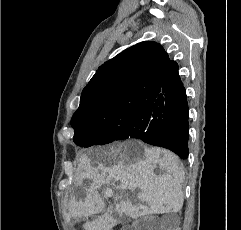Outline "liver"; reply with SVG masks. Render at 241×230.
<instances>
[{
  "label": "liver",
  "mask_w": 241,
  "mask_h": 230,
  "mask_svg": "<svg viewBox=\"0 0 241 230\" xmlns=\"http://www.w3.org/2000/svg\"><path fill=\"white\" fill-rule=\"evenodd\" d=\"M144 151L145 158H140ZM160 167L161 174L154 170ZM77 184L82 186L88 180L86 198L67 202L68 217H88L104 207L97 190L102 185L117 183L121 191L140 189L137 199L145 205H133L130 200L123 201L118 212L132 218L147 214L178 212L182 209L184 194L182 184L185 172L178 157L168 150L148 148L141 142L126 141L104 152V158L94 161L83 155L79 163ZM115 224L111 214L106 212L95 221L86 223L85 230H110Z\"/></svg>",
  "instance_id": "6515ba94"
}]
</instances>
